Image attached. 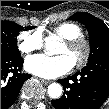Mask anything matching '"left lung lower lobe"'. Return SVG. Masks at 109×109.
Masks as SVG:
<instances>
[{"mask_svg": "<svg viewBox=\"0 0 109 109\" xmlns=\"http://www.w3.org/2000/svg\"><path fill=\"white\" fill-rule=\"evenodd\" d=\"M64 92L78 87L81 99L69 103L65 94L57 100H52L55 109H99L109 96V55L89 61L87 65L71 77L59 79Z\"/></svg>", "mask_w": 109, "mask_h": 109, "instance_id": "1", "label": "left lung lower lobe"}]
</instances>
